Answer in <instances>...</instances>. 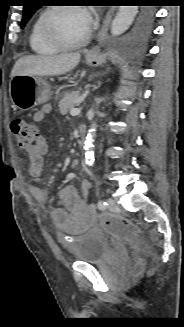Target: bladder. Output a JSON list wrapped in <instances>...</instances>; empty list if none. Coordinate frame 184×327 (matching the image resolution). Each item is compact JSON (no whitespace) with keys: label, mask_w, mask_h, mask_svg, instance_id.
<instances>
[{"label":"bladder","mask_w":184,"mask_h":327,"mask_svg":"<svg viewBox=\"0 0 184 327\" xmlns=\"http://www.w3.org/2000/svg\"><path fill=\"white\" fill-rule=\"evenodd\" d=\"M67 251L78 262L102 264L103 258L112 251L106 235L97 229H92L75 238L74 243L66 247Z\"/></svg>","instance_id":"1"}]
</instances>
